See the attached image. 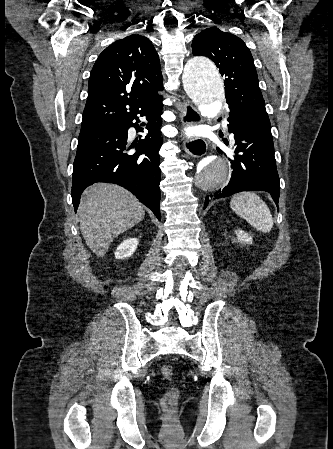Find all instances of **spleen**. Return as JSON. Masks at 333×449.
Returning a JSON list of instances; mask_svg holds the SVG:
<instances>
[{
  "label": "spleen",
  "mask_w": 333,
  "mask_h": 449,
  "mask_svg": "<svg viewBox=\"0 0 333 449\" xmlns=\"http://www.w3.org/2000/svg\"><path fill=\"white\" fill-rule=\"evenodd\" d=\"M231 208L250 225L262 232L273 227L272 214L266 203L254 192H241L230 202Z\"/></svg>",
  "instance_id": "3e777b00"
}]
</instances>
